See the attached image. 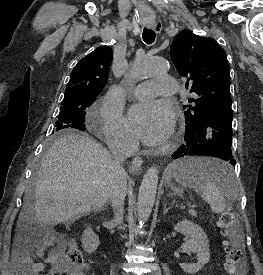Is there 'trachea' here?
Here are the masks:
<instances>
[{
  "instance_id": "1",
  "label": "trachea",
  "mask_w": 263,
  "mask_h": 275,
  "mask_svg": "<svg viewBox=\"0 0 263 275\" xmlns=\"http://www.w3.org/2000/svg\"><path fill=\"white\" fill-rule=\"evenodd\" d=\"M155 32L152 29L144 28L142 38L145 43L152 44L155 41Z\"/></svg>"
}]
</instances>
